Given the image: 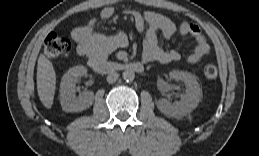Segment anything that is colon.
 <instances>
[{"instance_id":"obj_1","label":"colon","mask_w":259,"mask_h":156,"mask_svg":"<svg viewBox=\"0 0 259 156\" xmlns=\"http://www.w3.org/2000/svg\"><path fill=\"white\" fill-rule=\"evenodd\" d=\"M70 48V41L56 33H50L45 39L44 51L49 59L67 54ZM203 73L206 78L214 79L217 77L218 70L215 65L209 64L204 67Z\"/></svg>"}]
</instances>
